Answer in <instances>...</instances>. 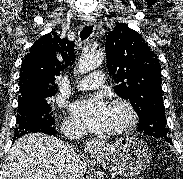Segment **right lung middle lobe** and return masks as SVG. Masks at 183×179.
<instances>
[{
	"instance_id": "dd1d6c3e",
	"label": "right lung middle lobe",
	"mask_w": 183,
	"mask_h": 179,
	"mask_svg": "<svg viewBox=\"0 0 183 179\" xmlns=\"http://www.w3.org/2000/svg\"><path fill=\"white\" fill-rule=\"evenodd\" d=\"M52 96L54 95L18 99L14 136L20 135L24 131L49 127L55 124L52 107L49 104V99Z\"/></svg>"
}]
</instances>
